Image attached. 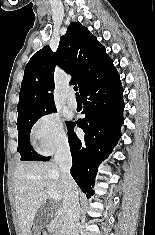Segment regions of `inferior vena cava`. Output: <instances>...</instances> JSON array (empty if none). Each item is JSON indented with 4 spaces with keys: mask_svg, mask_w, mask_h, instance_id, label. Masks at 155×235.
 I'll return each instance as SVG.
<instances>
[{
    "mask_svg": "<svg viewBox=\"0 0 155 235\" xmlns=\"http://www.w3.org/2000/svg\"><path fill=\"white\" fill-rule=\"evenodd\" d=\"M55 163L61 172V181L64 188L63 211L65 235H79V198L77 185L70 174L72 157L67 142L62 143L55 154Z\"/></svg>",
    "mask_w": 155,
    "mask_h": 235,
    "instance_id": "obj_1",
    "label": "inferior vena cava"
}]
</instances>
